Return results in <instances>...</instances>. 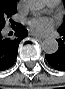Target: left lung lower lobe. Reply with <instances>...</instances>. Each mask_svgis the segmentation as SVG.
Returning <instances> with one entry per match:
<instances>
[{"label": "left lung lower lobe", "instance_id": "1", "mask_svg": "<svg viewBox=\"0 0 65 89\" xmlns=\"http://www.w3.org/2000/svg\"><path fill=\"white\" fill-rule=\"evenodd\" d=\"M62 36L58 41L59 48L57 52L45 55L48 63L56 70L65 71V33L59 32Z\"/></svg>", "mask_w": 65, "mask_h": 89}]
</instances>
